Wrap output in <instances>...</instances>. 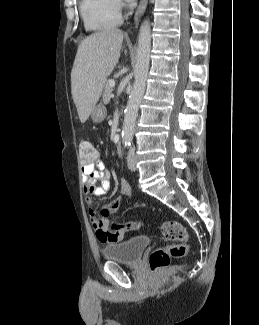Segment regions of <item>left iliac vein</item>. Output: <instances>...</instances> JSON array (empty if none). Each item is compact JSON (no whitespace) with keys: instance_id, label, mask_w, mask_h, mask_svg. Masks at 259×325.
Segmentation results:
<instances>
[{"instance_id":"1","label":"left iliac vein","mask_w":259,"mask_h":325,"mask_svg":"<svg viewBox=\"0 0 259 325\" xmlns=\"http://www.w3.org/2000/svg\"><path fill=\"white\" fill-rule=\"evenodd\" d=\"M127 165L128 168L132 171L136 170V161H135V154L133 151H130L127 156Z\"/></svg>"}]
</instances>
